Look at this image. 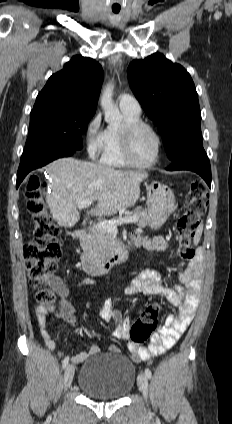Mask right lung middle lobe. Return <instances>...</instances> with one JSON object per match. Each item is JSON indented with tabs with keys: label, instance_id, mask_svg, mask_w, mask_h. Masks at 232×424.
<instances>
[{
	"label": "right lung middle lobe",
	"instance_id": "right-lung-middle-lobe-1",
	"mask_svg": "<svg viewBox=\"0 0 232 424\" xmlns=\"http://www.w3.org/2000/svg\"><path fill=\"white\" fill-rule=\"evenodd\" d=\"M95 112L72 106H48L30 113L29 135L21 159L44 148H82V132Z\"/></svg>",
	"mask_w": 232,
	"mask_h": 424
}]
</instances>
